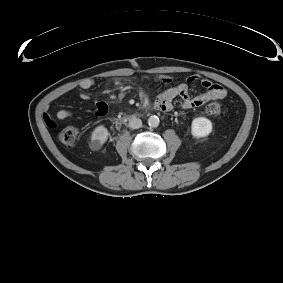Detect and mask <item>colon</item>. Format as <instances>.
<instances>
[{"label": "colon", "mask_w": 283, "mask_h": 283, "mask_svg": "<svg viewBox=\"0 0 283 283\" xmlns=\"http://www.w3.org/2000/svg\"><path fill=\"white\" fill-rule=\"evenodd\" d=\"M205 113L214 118L225 117L228 113V109L221 103L213 102L205 107ZM59 141L67 147H72L76 143L77 130L73 127H67L62 129L58 134Z\"/></svg>", "instance_id": "colon-1"}]
</instances>
